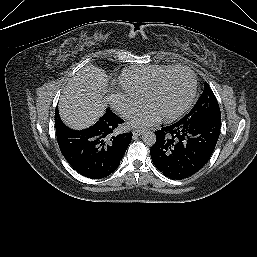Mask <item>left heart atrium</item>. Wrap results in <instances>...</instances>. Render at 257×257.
Masks as SVG:
<instances>
[{"label":"left heart atrium","mask_w":257,"mask_h":257,"mask_svg":"<svg viewBox=\"0 0 257 257\" xmlns=\"http://www.w3.org/2000/svg\"><path fill=\"white\" fill-rule=\"evenodd\" d=\"M160 120V114L151 107L138 112L130 121V125L136 128H147L155 125Z\"/></svg>","instance_id":"39dd6f15"}]
</instances>
